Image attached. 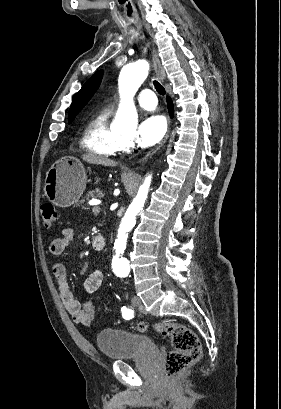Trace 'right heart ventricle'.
Returning a JSON list of instances; mask_svg holds the SVG:
<instances>
[{
  "mask_svg": "<svg viewBox=\"0 0 281 409\" xmlns=\"http://www.w3.org/2000/svg\"><path fill=\"white\" fill-rule=\"evenodd\" d=\"M109 116V110L98 112L90 119L86 128L88 150L99 158L113 156L120 149L115 132L109 124Z\"/></svg>",
  "mask_w": 281,
  "mask_h": 409,
  "instance_id": "right-heart-ventricle-1",
  "label": "right heart ventricle"
}]
</instances>
